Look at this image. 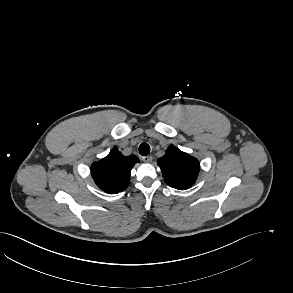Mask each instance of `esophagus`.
Returning a JSON list of instances; mask_svg holds the SVG:
<instances>
[{
	"instance_id": "34e87169",
	"label": "esophagus",
	"mask_w": 293,
	"mask_h": 293,
	"mask_svg": "<svg viewBox=\"0 0 293 293\" xmlns=\"http://www.w3.org/2000/svg\"><path fill=\"white\" fill-rule=\"evenodd\" d=\"M142 160L146 163H150V162H152L153 157L152 156H144V157H142Z\"/></svg>"
}]
</instances>
